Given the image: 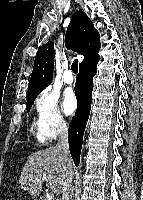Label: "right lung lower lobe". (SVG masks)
<instances>
[{
    "mask_svg": "<svg viewBox=\"0 0 143 200\" xmlns=\"http://www.w3.org/2000/svg\"><path fill=\"white\" fill-rule=\"evenodd\" d=\"M98 53L79 67V74L76 78L75 94L78 101V107L69 126L68 138L69 149L76 166L80 162V151L82 147L83 134L90 114L93 82L96 74V66L99 61Z\"/></svg>",
    "mask_w": 143,
    "mask_h": 200,
    "instance_id": "1",
    "label": "right lung lower lobe"
}]
</instances>
